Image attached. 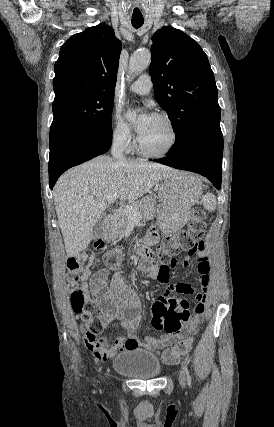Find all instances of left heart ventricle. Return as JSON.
I'll list each match as a JSON object with an SVG mask.
<instances>
[{
	"mask_svg": "<svg viewBox=\"0 0 274 427\" xmlns=\"http://www.w3.org/2000/svg\"><path fill=\"white\" fill-rule=\"evenodd\" d=\"M138 137L142 147L152 153L164 151L172 138L168 125L154 116H152L145 131Z\"/></svg>",
	"mask_w": 274,
	"mask_h": 427,
	"instance_id": "1",
	"label": "left heart ventricle"
}]
</instances>
